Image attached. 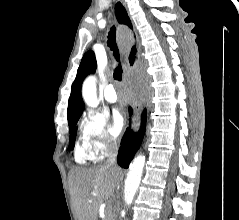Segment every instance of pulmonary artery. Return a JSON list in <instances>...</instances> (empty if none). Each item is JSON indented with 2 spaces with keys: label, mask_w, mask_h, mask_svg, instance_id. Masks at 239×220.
<instances>
[{
  "label": "pulmonary artery",
  "mask_w": 239,
  "mask_h": 220,
  "mask_svg": "<svg viewBox=\"0 0 239 220\" xmlns=\"http://www.w3.org/2000/svg\"><path fill=\"white\" fill-rule=\"evenodd\" d=\"M104 97L110 103H114L118 100V96L113 84L107 85L104 91Z\"/></svg>",
  "instance_id": "e3ab8cb5"
}]
</instances>
